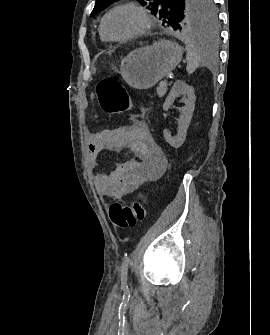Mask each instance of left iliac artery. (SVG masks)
<instances>
[{"mask_svg": "<svg viewBox=\"0 0 270 335\" xmlns=\"http://www.w3.org/2000/svg\"><path fill=\"white\" fill-rule=\"evenodd\" d=\"M129 263H130V258L126 257L121 266V283L124 288L127 287V273H128Z\"/></svg>", "mask_w": 270, "mask_h": 335, "instance_id": "44dca946", "label": "left iliac artery"}]
</instances>
